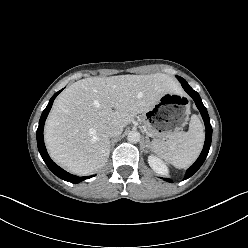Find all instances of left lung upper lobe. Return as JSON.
<instances>
[{
	"mask_svg": "<svg viewBox=\"0 0 248 248\" xmlns=\"http://www.w3.org/2000/svg\"><path fill=\"white\" fill-rule=\"evenodd\" d=\"M178 80L181 82V83H187L183 78L177 76Z\"/></svg>",
	"mask_w": 248,
	"mask_h": 248,
	"instance_id": "5c2ea615",
	"label": "left lung upper lobe"
}]
</instances>
